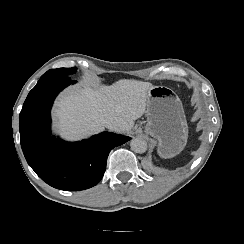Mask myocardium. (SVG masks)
<instances>
[{
  "mask_svg": "<svg viewBox=\"0 0 244 244\" xmlns=\"http://www.w3.org/2000/svg\"><path fill=\"white\" fill-rule=\"evenodd\" d=\"M108 169H109V164L107 163V166H106V171H108Z\"/></svg>",
  "mask_w": 244,
  "mask_h": 244,
  "instance_id": "f54148a6",
  "label": "myocardium"
}]
</instances>
